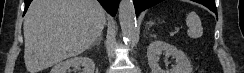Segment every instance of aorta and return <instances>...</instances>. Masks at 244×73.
Listing matches in <instances>:
<instances>
[{
  "label": "aorta",
  "instance_id": "aorta-1",
  "mask_svg": "<svg viewBox=\"0 0 244 73\" xmlns=\"http://www.w3.org/2000/svg\"><path fill=\"white\" fill-rule=\"evenodd\" d=\"M119 22L124 40H130L136 31V15L133 0H121Z\"/></svg>",
  "mask_w": 244,
  "mask_h": 73
}]
</instances>
